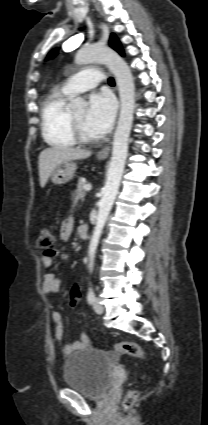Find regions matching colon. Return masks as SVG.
I'll list each match as a JSON object with an SVG mask.
<instances>
[{
	"label": "colon",
	"instance_id": "5ec220e1",
	"mask_svg": "<svg viewBox=\"0 0 208 425\" xmlns=\"http://www.w3.org/2000/svg\"><path fill=\"white\" fill-rule=\"evenodd\" d=\"M36 245L41 249L44 254H53L55 246V236L49 229H43L40 231L37 238ZM82 293L81 288L78 284L72 286L70 290V303L75 306L81 299ZM115 351L118 353H125L133 357L140 358L144 361H150V354L140 345L134 342L123 341L115 345ZM138 398V392L136 390L130 391L123 401V409L125 411L130 410L136 403Z\"/></svg>",
	"mask_w": 208,
	"mask_h": 425
}]
</instances>
